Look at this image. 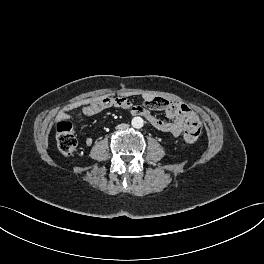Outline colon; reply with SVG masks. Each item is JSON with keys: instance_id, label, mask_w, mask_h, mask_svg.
<instances>
[{"instance_id": "obj_1", "label": "colon", "mask_w": 264, "mask_h": 264, "mask_svg": "<svg viewBox=\"0 0 264 264\" xmlns=\"http://www.w3.org/2000/svg\"><path fill=\"white\" fill-rule=\"evenodd\" d=\"M202 131V122L196 117L188 118L183 127L184 138L188 142H195ZM57 146L64 155H71L77 147V140L72 123L63 119L56 126Z\"/></svg>"}]
</instances>
